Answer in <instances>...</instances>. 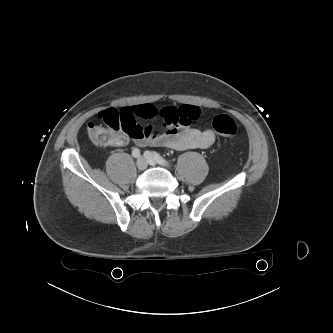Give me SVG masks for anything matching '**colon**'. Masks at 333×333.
I'll return each mask as SVG.
<instances>
[{
	"instance_id": "5ec220e1",
	"label": "colon",
	"mask_w": 333,
	"mask_h": 333,
	"mask_svg": "<svg viewBox=\"0 0 333 333\" xmlns=\"http://www.w3.org/2000/svg\"><path fill=\"white\" fill-rule=\"evenodd\" d=\"M103 125L89 124L87 134L98 146H111L115 135L119 132L133 134L137 131V122L129 109H107L100 113ZM213 130L221 136L232 137L237 133V124L232 117L220 114L212 120Z\"/></svg>"
}]
</instances>
